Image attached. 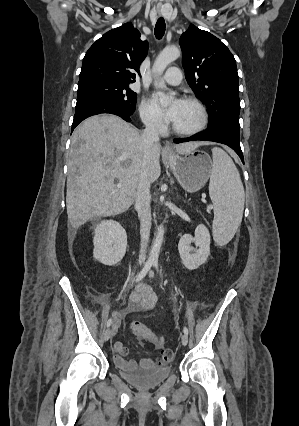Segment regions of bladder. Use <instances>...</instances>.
Here are the masks:
<instances>
[{
	"label": "bladder",
	"instance_id": "31cf9c89",
	"mask_svg": "<svg viewBox=\"0 0 299 426\" xmlns=\"http://www.w3.org/2000/svg\"><path fill=\"white\" fill-rule=\"evenodd\" d=\"M118 374L129 384L142 390H148L162 384L171 374V368L169 366H157L134 370L119 369Z\"/></svg>",
	"mask_w": 299,
	"mask_h": 426
}]
</instances>
